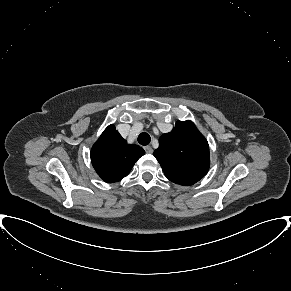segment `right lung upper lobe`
Here are the masks:
<instances>
[{
    "mask_svg": "<svg viewBox=\"0 0 291 291\" xmlns=\"http://www.w3.org/2000/svg\"><path fill=\"white\" fill-rule=\"evenodd\" d=\"M144 154L141 147L127 144L112 124L93 145L91 162L101 179L113 183L124 178Z\"/></svg>",
    "mask_w": 291,
    "mask_h": 291,
    "instance_id": "obj_1",
    "label": "right lung upper lobe"
}]
</instances>
